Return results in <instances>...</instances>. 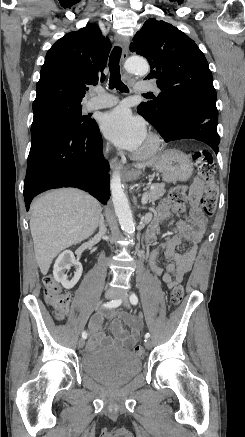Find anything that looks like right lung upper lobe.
Masks as SVG:
<instances>
[{
  "mask_svg": "<svg viewBox=\"0 0 245 437\" xmlns=\"http://www.w3.org/2000/svg\"><path fill=\"white\" fill-rule=\"evenodd\" d=\"M110 49L109 39L91 23L59 39L46 54L33 107L54 102L81 104L87 85L105 79Z\"/></svg>",
  "mask_w": 245,
  "mask_h": 437,
  "instance_id": "cb5924a9",
  "label": "right lung upper lobe"
}]
</instances>
